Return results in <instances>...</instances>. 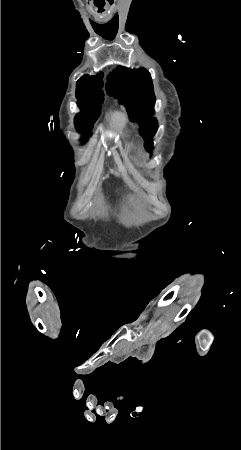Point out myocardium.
Instances as JSON below:
<instances>
[{
    "label": "myocardium",
    "mask_w": 241,
    "mask_h": 450,
    "mask_svg": "<svg viewBox=\"0 0 241 450\" xmlns=\"http://www.w3.org/2000/svg\"><path fill=\"white\" fill-rule=\"evenodd\" d=\"M140 147H142V146H140ZM144 147H146V146H144ZM138 155H140V154H138ZM147 160H148V159H147L146 157H143V158H142V161H143V162H146Z\"/></svg>",
    "instance_id": "myocardium-1"
}]
</instances>
